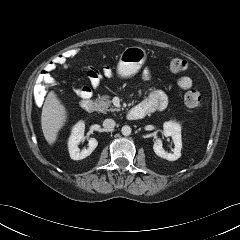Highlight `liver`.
I'll return each mask as SVG.
<instances>
[{"label":"liver","instance_id":"obj_1","mask_svg":"<svg viewBox=\"0 0 240 240\" xmlns=\"http://www.w3.org/2000/svg\"><path fill=\"white\" fill-rule=\"evenodd\" d=\"M67 110L54 91H50L45 99L42 114L41 127L47 143L52 146L58 136V132L67 122Z\"/></svg>","mask_w":240,"mask_h":240}]
</instances>
